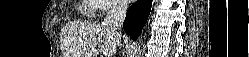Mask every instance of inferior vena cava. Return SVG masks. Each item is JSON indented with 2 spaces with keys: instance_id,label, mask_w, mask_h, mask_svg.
Returning a JSON list of instances; mask_svg holds the SVG:
<instances>
[{
  "instance_id": "1",
  "label": "inferior vena cava",
  "mask_w": 249,
  "mask_h": 57,
  "mask_svg": "<svg viewBox=\"0 0 249 57\" xmlns=\"http://www.w3.org/2000/svg\"><path fill=\"white\" fill-rule=\"evenodd\" d=\"M126 11L127 3L122 0H117L112 9L107 12L102 25L117 33V30L122 27L126 16Z\"/></svg>"
}]
</instances>
